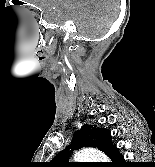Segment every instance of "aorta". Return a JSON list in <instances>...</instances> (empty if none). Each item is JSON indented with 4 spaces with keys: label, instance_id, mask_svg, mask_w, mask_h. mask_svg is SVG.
<instances>
[{
    "label": "aorta",
    "instance_id": "aorta-1",
    "mask_svg": "<svg viewBox=\"0 0 155 167\" xmlns=\"http://www.w3.org/2000/svg\"><path fill=\"white\" fill-rule=\"evenodd\" d=\"M74 160L77 162H105L107 157L96 149H83L74 155Z\"/></svg>",
    "mask_w": 155,
    "mask_h": 167
}]
</instances>
